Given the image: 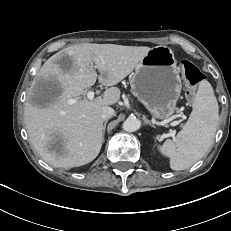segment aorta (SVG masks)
I'll list each match as a JSON object with an SVG mask.
<instances>
[{
    "mask_svg": "<svg viewBox=\"0 0 231 231\" xmlns=\"http://www.w3.org/2000/svg\"><path fill=\"white\" fill-rule=\"evenodd\" d=\"M140 126V120L135 117L127 118L122 124L123 130H125L126 132H135L140 128Z\"/></svg>",
    "mask_w": 231,
    "mask_h": 231,
    "instance_id": "obj_1",
    "label": "aorta"
}]
</instances>
